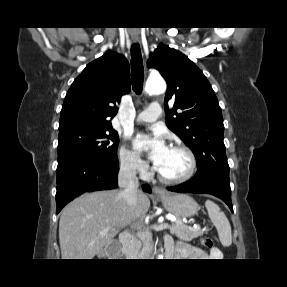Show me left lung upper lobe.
<instances>
[{"label":"left lung upper lobe","instance_id":"1","mask_svg":"<svg viewBox=\"0 0 287 287\" xmlns=\"http://www.w3.org/2000/svg\"><path fill=\"white\" fill-rule=\"evenodd\" d=\"M147 65L156 68L167 82L166 124L196 157L193 179H229L222 112L205 75L187 56L162 43L150 55ZM168 104H174L170 111Z\"/></svg>","mask_w":287,"mask_h":287}]
</instances>
